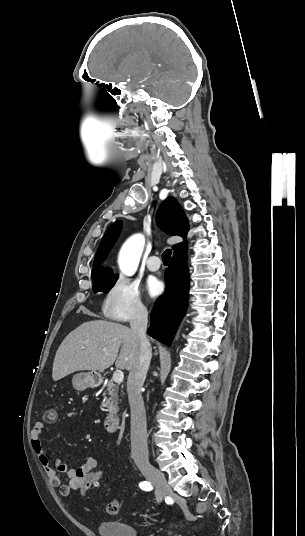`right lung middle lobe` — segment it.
I'll return each mask as SVG.
<instances>
[{
    "label": "right lung middle lobe",
    "instance_id": "1",
    "mask_svg": "<svg viewBox=\"0 0 305 536\" xmlns=\"http://www.w3.org/2000/svg\"><path fill=\"white\" fill-rule=\"evenodd\" d=\"M118 276L115 277H109L104 279H94L93 280V291L99 292L102 291L103 293H108L109 290L114 286Z\"/></svg>",
    "mask_w": 305,
    "mask_h": 536
}]
</instances>
